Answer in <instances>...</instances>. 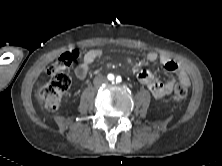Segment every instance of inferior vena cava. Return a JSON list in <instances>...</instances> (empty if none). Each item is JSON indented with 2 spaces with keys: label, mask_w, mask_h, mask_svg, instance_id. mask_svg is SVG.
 <instances>
[{
  "label": "inferior vena cava",
  "mask_w": 222,
  "mask_h": 166,
  "mask_svg": "<svg viewBox=\"0 0 222 166\" xmlns=\"http://www.w3.org/2000/svg\"><path fill=\"white\" fill-rule=\"evenodd\" d=\"M105 82H107V79L104 76H97L94 79V85L95 86H99V85H101L102 83H105Z\"/></svg>",
  "instance_id": "602c4592"
}]
</instances>
